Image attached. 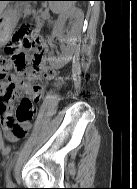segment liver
Instances as JSON below:
<instances>
[{
	"instance_id": "obj_1",
	"label": "liver",
	"mask_w": 137,
	"mask_h": 189,
	"mask_svg": "<svg viewBox=\"0 0 137 189\" xmlns=\"http://www.w3.org/2000/svg\"><path fill=\"white\" fill-rule=\"evenodd\" d=\"M8 5L7 1H0V14L3 12V10L6 8Z\"/></svg>"
}]
</instances>
